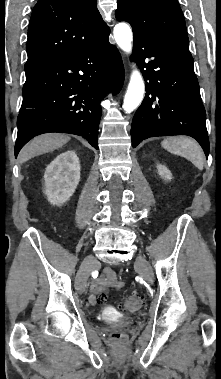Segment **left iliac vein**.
<instances>
[{
    "mask_svg": "<svg viewBox=\"0 0 221 379\" xmlns=\"http://www.w3.org/2000/svg\"><path fill=\"white\" fill-rule=\"evenodd\" d=\"M135 267L137 268V270L140 272V274L144 277V279L147 282L149 283L153 282L154 274H153L152 268L142 255H139L137 257L135 261Z\"/></svg>",
    "mask_w": 221,
    "mask_h": 379,
    "instance_id": "obj_1",
    "label": "left iliac vein"
}]
</instances>
